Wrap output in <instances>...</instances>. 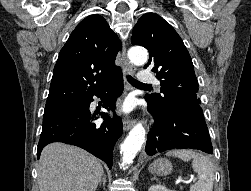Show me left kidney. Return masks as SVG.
<instances>
[{
  "label": "left kidney",
  "mask_w": 251,
  "mask_h": 191,
  "mask_svg": "<svg viewBox=\"0 0 251 191\" xmlns=\"http://www.w3.org/2000/svg\"><path fill=\"white\" fill-rule=\"evenodd\" d=\"M148 191H172V189H167L165 185H151Z\"/></svg>",
  "instance_id": "left-kidney-1"
}]
</instances>
